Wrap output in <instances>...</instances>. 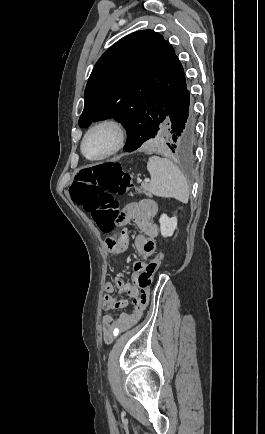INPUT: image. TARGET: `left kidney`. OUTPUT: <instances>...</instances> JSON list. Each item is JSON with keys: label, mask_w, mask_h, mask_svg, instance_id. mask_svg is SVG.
<instances>
[{"label": "left kidney", "mask_w": 265, "mask_h": 434, "mask_svg": "<svg viewBox=\"0 0 265 434\" xmlns=\"http://www.w3.org/2000/svg\"><path fill=\"white\" fill-rule=\"evenodd\" d=\"M159 222H160V232L163 238H168V236H173L177 228V218H168L166 214H162Z\"/></svg>", "instance_id": "obj_1"}]
</instances>
